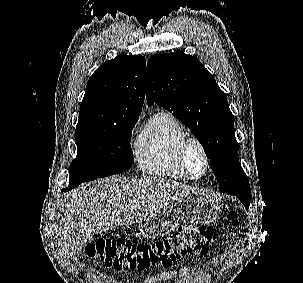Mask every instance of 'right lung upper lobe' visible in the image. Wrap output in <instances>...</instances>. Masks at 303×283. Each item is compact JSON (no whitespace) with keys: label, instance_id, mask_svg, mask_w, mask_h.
Returning a JSON list of instances; mask_svg holds the SVG:
<instances>
[{"label":"right lung upper lobe","instance_id":"obj_1","mask_svg":"<svg viewBox=\"0 0 303 283\" xmlns=\"http://www.w3.org/2000/svg\"><path fill=\"white\" fill-rule=\"evenodd\" d=\"M146 60L118 55L103 63L89 78L78 125H119L138 120L144 103Z\"/></svg>","mask_w":303,"mask_h":283}]
</instances>
